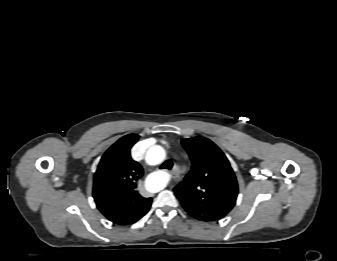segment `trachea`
Segmentation results:
<instances>
[{
    "instance_id": "obj_1",
    "label": "trachea",
    "mask_w": 337,
    "mask_h": 261,
    "mask_svg": "<svg viewBox=\"0 0 337 261\" xmlns=\"http://www.w3.org/2000/svg\"><path fill=\"white\" fill-rule=\"evenodd\" d=\"M172 166H173V163H172V161H170V160H167V161H165L162 165H161V168L162 169H171L172 168Z\"/></svg>"
}]
</instances>
